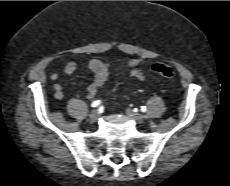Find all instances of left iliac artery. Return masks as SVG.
<instances>
[{
	"mask_svg": "<svg viewBox=\"0 0 230 186\" xmlns=\"http://www.w3.org/2000/svg\"><path fill=\"white\" fill-rule=\"evenodd\" d=\"M141 111H142V112H146V111H147L146 106H141Z\"/></svg>",
	"mask_w": 230,
	"mask_h": 186,
	"instance_id": "1",
	"label": "left iliac artery"
}]
</instances>
